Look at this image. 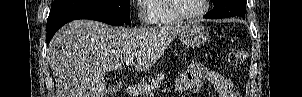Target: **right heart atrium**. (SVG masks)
Returning a JSON list of instances; mask_svg holds the SVG:
<instances>
[{
    "label": "right heart atrium",
    "mask_w": 302,
    "mask_h": 97,
    "mask_svg": "<svg viewBox=\"0 0 302 97\" xmlns=\"http://www.w3.org/2000/svg\"><path fill=\"white\" fill-rule=\"evenodd\" d=\"M150 1L151 0H143V1L138 0L137 1V3H138L137 9H136L137 18L142 23H151L152 22L151 16L149 15L147 10L143 6L144 4L149 3Z\"/></svg>",
    "instance_id": "obj_1"
}]
</instances>
